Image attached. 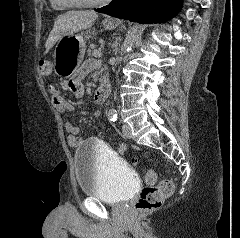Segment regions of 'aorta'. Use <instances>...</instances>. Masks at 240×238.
I'll return each mask as SVG.
<instances>
[{"instance_id": "762f6f07", "label": "aorta", "mask_w": 240, "mask_h": 238, "mask_svg": "<svg viewBox=\"0 0 240 238\" xmlns=\"http://www.w3.org/2000/svg\"><path fill=\"white\" fill-rule=\"evenodd\" d=\"M138 31V27L137 24L134 25L133 27H131V29L128 31L126 38L123 42L122 45V54L126 53L127 51H129L131 49V47L133 46L135 39H136V34ZM115 110L114 109H110L109 113L110 114H115Z\"/></svg>"}]
</instances>
